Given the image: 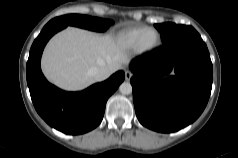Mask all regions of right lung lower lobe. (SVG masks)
<instances>
[{"mask_svg":"<svg viewBox=\"0 0 238 158\" xmlns=\"http://www.w3.org/2000/svg\"><path fill=\"white\" fill-rule=\"evenodd\" d=\"M63 25L45 26L30 49L26 66L27 84L38 114L53 128L71 135L96 128L103 119L108 98L123 82L125 74L118 71L104 82L81 92H65L50 84L43 76L40 60L48 40Z\"/></svg>","mask_w":238,"mask_h":158,"instance_id":"98d812e1","label":"right lung lower lobe"}]
</instances>
